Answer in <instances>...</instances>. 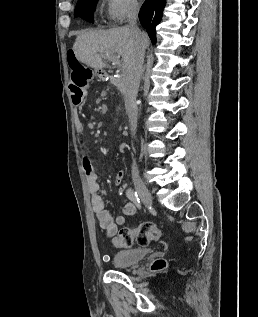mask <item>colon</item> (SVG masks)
I'll list each match as a JSON object with an SVG mask.
<instances>
[{
    "instance_id": "colon-1",
    "label": "colon",
    "mask_w": 258,
    "mask_h": 317,
    "mask_svg": "<svg viewBox=\"0 0 258 317\" xmlns=\"http://www.w3.org/2000/svg\"><path fill=\"white\" fill-rule=\"evenodd\" d=\"M67 62L70 68L71 77L79 80L82 84L87 86L94 78V71L82 64L73 50L67 51ZM161 237L160 228L152 223L145 222L138 227L122 228L114 237L113 243L119 248H129L134 245L146 246L151 242L159 240ZM166 266V261L158 259L153 262L152 270L160 271Z\"/></svg>"
}]
</instances>
